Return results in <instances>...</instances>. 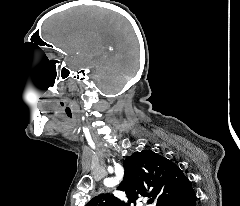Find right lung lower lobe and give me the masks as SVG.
Masks as SVG:
<instances>
[{
	"label": "right lung lower lobe",
	"mask_w": 240,
	"mask_h": 206,
	"mask_svg": "<svg viewBox=\"0 0 240 206\" xmlns=\"http://www.w3.org/2000/svg\"><path fill=\"white\" fill-rule=\"evenodd\" d=\"M161 206H196V194L191 184L180 194L165 201Z\"/></svg>",
	"instance_id": "1"
}]
</instances>
